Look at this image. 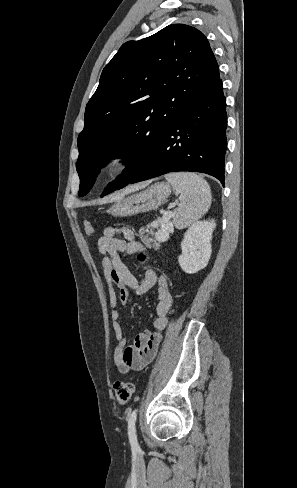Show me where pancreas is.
<instances>
[{
	"instance_id": "pancreas-1",
	"label": "pancreas",
	"mask_w": 297,
	"mask_h": 488,
	"mask_svg": "<svg viewBox=\"0 0 297 488\" xmlns=\"http://www.w3.org/2000/svg\"><path fill=\"white\" fill-rule=\"evenodd\" d=\"M156 222H157L158 225H162L163 224V220L161 218H158ZM167 224H168V226H170L171 223L168 221ZM144 232H149V231L148 230H144ZM150 233H152V231H150ZM149 241H151V239H149Z\"/></svg>"
}]
</instances>
